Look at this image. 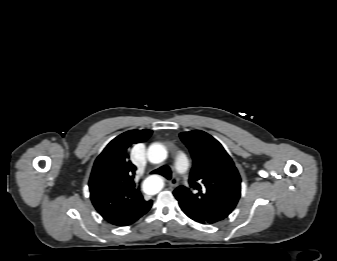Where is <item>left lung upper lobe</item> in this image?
I'll list each match as a JSON object with an SVG mask.
<instances>
[{
	"instance_id": "obj_1",
	"label": "left lung upper lobe",
	"mask_w": 337,
	"mask_h": 261,
	"mask_svg": "<svg viewBox=\"0 0 337 261\" xmlns=\"http://www.w3.org/2000/svg\"><path fill=\"white\" fill-rule=\"evenodd\" d=\"M193 158L190 187L179 186L173 194L182 210L209 223L226 218L240 198V175L230 156L211 135L200 130L180 133Z\"/></svg>"
}]
</instances>
